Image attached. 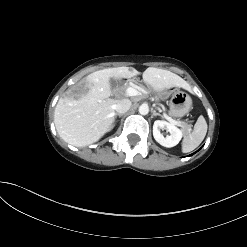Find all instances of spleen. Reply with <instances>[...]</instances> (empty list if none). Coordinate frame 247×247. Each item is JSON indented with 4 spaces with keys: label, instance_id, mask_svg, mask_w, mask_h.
<instances>
[{
    "label": "spleen",
    "instance_id": "spleen-1",
    "mask_svg": "<svg viewBox=\"0 0 247 247\" xmlns=\"http://www.w3.org/2000/svg\"><path fill=\"white\" fill-rule=\"evenodd\" d=\"M206 133L207 123L205 118L201 115L195 123L192 133L184 137L182 141V152L188 153L197 148L204 140Z\"/></svg>",
    "mask_w": 247,
    "mask_h": 247
}]
</instances>
